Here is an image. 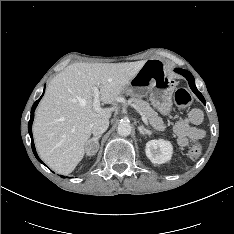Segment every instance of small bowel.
Returning a JSON list of instances; mask_svg holds the SVG:
<instances>
[{"label": "small bowel", "mask_w": 234, "mask_h": 234, "mask_svg": "<svg viewBox=\"0 0 234 234\" xmlns=\"http://www.w3.org/2000/svg\"><path fill=\"white\" fill-rule=\"evenodd\" d=\"M203 121V113L199 109H193L188 117L176 122L174 132L177 136V142L180 146L185 147L190 142L200 140L205 136V131L198 128Z\"/></svg>", "instance_id": "small-bowel-1"}]
</instances>
